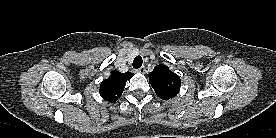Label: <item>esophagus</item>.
I'll return each mask as SVG.
<instances>
[{"mask_svg":"<svg viewBox=\"0 0 276 138\" xmlns=\"http://www.w3.org/2000/svg\"><path fill=\"white\" fill-rule=\"evenodd\" d=\"M146 71L145 67H140L137 72L141 73V74H144Z\"/></svg>","mask_w":276,"mask_h":138,"instance_id":"obj_1","label":"esophagus"}]
</instances>
